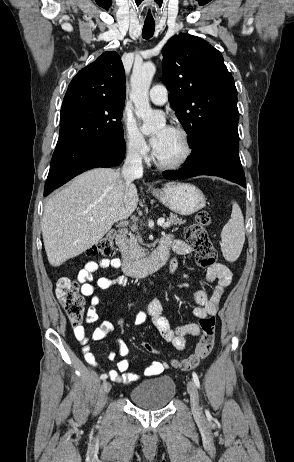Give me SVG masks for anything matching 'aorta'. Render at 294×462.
Masks as SVG:
<instances>
[{"label": "aorta", "mask_w": 294, "mask_h": 462, "mask_svg": "<svg viewBox=\"0 0 294 462\" xmlns=\"http://www.w3.org/2000/svg\"><path fill=\"white\" fill-rule=\"evenodd\" d=\"M156 68L152 62L134 66L131 76L130 99L135 105V113L143 121L142 132L150 134L162 125L149 103V88Z\"/></svg>", "instance_id": "1"}]
</instances>
